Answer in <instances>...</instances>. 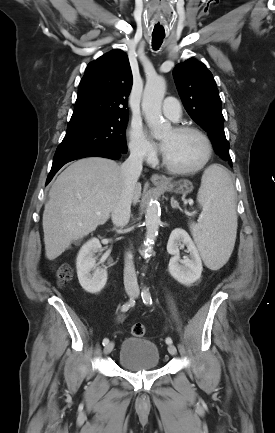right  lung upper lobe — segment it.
<instances>
[{
    "label": "right lung upper lobe",
    "instance_id": "cb5924a9",
    "mask_svg": "<svg viewBox=\"0 0 275 433\" xmlns=\"http://www.w3.org/2000/svg\"><path fill=\"white\" fill-rule=\"evenodd\" d=\"M132 82L129 60L122 50L115 49L102 55L85 70L71 119L128 117L127 98Z\"/></svg>",
    "mask_w": 275,
    "mask_h": 433
}]
</instances>
